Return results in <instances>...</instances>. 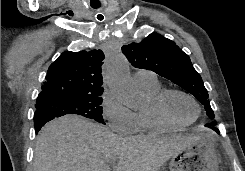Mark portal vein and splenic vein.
Instances as JSON below:
<instances>
[{
  "label": "portal vein and splenic vein",
  "instance_id": "1",
  "mask_svg": "<svg viewBox=\"0 0 245 171\" xmlns=\"http://www.w3.org/2000/svg\"><path fill=\"white\" fill-rule=\"evenodd\" d=\"M108 163H110V164H115V160H110Z\"/></svg>",
  "mask_w": 245,
  "mask_h": 171
}]
</instances>
